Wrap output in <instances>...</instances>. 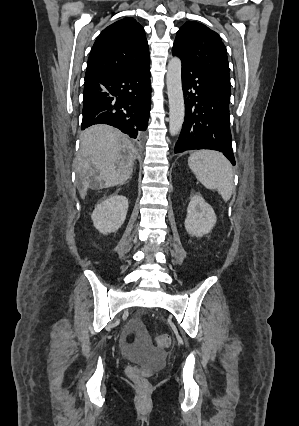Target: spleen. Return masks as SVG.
<instances>
[{
    "instance_id": "spleen-1",
    "label": "spleen",
    "mask_w": 299,
    "mask_h": 426,
    "mask_svg": "<svg viewBox=\"0 0 299 426\" xmlns=\"http://www.w3.org/2000/svg\"><path fill=\"white\" fill-rule=\"evenodd\" d=\"M196 178L208 189H216L224 201L231 198L233 171L230 162L219 152L196 151L188 158Z\"/></svg>"
}]
</instances>
